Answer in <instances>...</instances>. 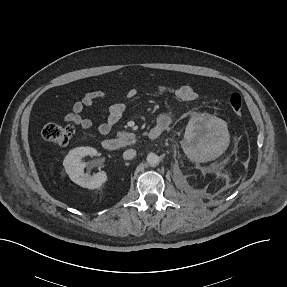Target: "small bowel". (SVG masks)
I'll return each mask as SVG.
<instances>
[{"label": "small bowel", "instance_id": "c3829d8e", "mask_svg": "<svg viewBox=\"0 0 287 287\" xmlns=\"http://www.w3.org/2000/svg\"><path fill=\"white\" fill-rule=\"evenodd\" d=\"M157 91L161 94H169L183 102L195 101L198 97L195 89L189 85H160ZM137 94L136 89H130L124 98L130 99ZM108 97L102 91L87 92L81 99L75 101L71 111L64 117L65 121L73 123L82 129H90L93 127V121L87 118L83 113L96 102H107ZM125 111V104L122 101H116L109 104L108 115L104 122L97 126V130L101 134H108L116 123L122 118ZM173 122V115L170 112H164L157 118L155 127L161 126L168 128Z\"/></svg>", "mask_w": 287, "mask_h": 287}]
</instances>
